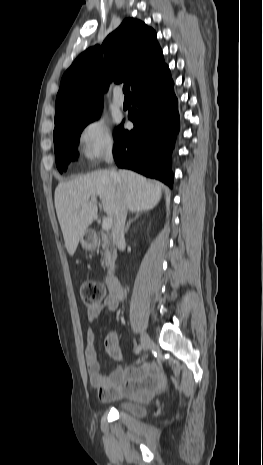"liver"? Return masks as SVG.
<instances>
[{
  "label": "liver",
  "instance_id": "obj_1",
  "mask_svg": "<svg viewBox=\"0 0 263 465\" xmlns=\"http://www.w3.org/2000/svg\"><path fill=\"white\" fill-rule=\"evenodd\" d=\"M117 178L110 171L100 170L61 182L55 189V208L65 246L73 256L78 243L97 216L98 208L90 198L99 196L103 210L115 218L120 196L131 212L153 209L161 198L163 185L147 180L129 170H119Z\"/></svg>",
  "mask_w": 263,
  "mask_h": 465
}]
</instances>
